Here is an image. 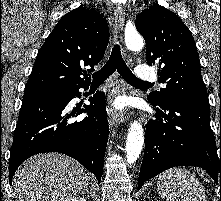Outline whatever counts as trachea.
Wrapping results in <instances>:
<instances>
[{"label":"trachea","mask_w":221,"mask_h":201,"mask_svg":"<svg viewBox=\"0 0 221 201\" xmlns=\"http://www.w3.org/2000/svg\"><path fill=\"white\" fill-rule=\"evenodd\" d=\"M115 70L131 84L152 85L137 79L122 58L120 46L114 45L111 56L101 70L92 75L93 83H103Z\"/></svg>","instance_id":"obj_1"}]
</instances>
